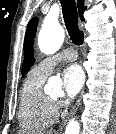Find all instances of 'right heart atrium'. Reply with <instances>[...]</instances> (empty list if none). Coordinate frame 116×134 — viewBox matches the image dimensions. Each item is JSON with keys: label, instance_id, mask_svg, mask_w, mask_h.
I'll use <instances>...</instances> for the list:
<instances>
[{"label": "right heart atrium", "instance_id": "1", "mask_svg": "<svg viewBox=\"0 0 116 134\" xmlns=\"http://www.w3.org/2000/svg\"><path fill=\"white\" fill-rule=\"evenodd\" d=\"M55 106L56 108H58L60 106V103H56Z\"/></svg>", "mask_w": 116, "mask_h": 134}]
</instances>
